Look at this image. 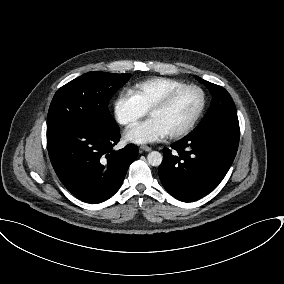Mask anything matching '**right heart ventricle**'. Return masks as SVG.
<instances>
[{"instance_id":"1","label":"right heart ventricle","mask_w":284,"mask_h":284,"mask_svg":"<svg viewBox=\"0 0 284 284\" xmlns=\"http://www.w3.org/2000/svg\"><path fill=\"white\" fill-rule=\"evenodd\" d=\"M185 84L179 79L153 77L137 83L132 89V93L147 110H150L172 90Z\"/></svg>"}]
</instances>
